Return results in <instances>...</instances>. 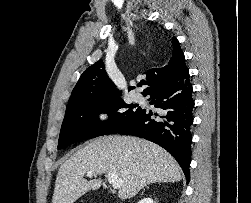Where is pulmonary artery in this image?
Segmentation results:
<instances>
[{"mask_svg":"<svg viewBox=\"0 0 251 203\" xmlns=\"http://www.w3.org/2000/svg\"><path fill=\"white\" fill-rule=\"evenodd\" d=\"M133 97L137 102H141L143 100V96L140 93H135Z\"/></svg>","mask_w":251,"mask_h":203,"instance_id":"e3ab8cb5","label":"pulmonary artery"}]
</instances>
